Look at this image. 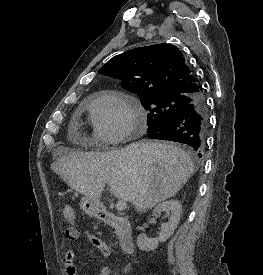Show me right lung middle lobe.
Masks as SVG:
<instances>
[{
    "label": "right lung middle lobe",
    "instance_id": "1",
    "mask_svg": "<svg viewBox=\"0 0 263 275\" xmlns=\"http://www.w3.org/2000/svg\"><path fill=\"white\" fill-rule=\"evenodd\" d=\"M140 100L148 111V131L179 113L192 101L187 96H140Z\"/></svg>",
    "mask_w": 263,
    "mask_h": 275
}]
</instances>
